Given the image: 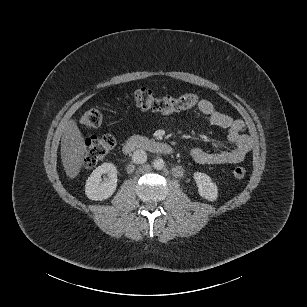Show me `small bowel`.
<instances>
[{"label": "small bowel", "mask_w": 307, "mask_h": 307, "mask_svg": "<svg viewBox=\"0 0 307 307\" xmlns=\"http://www.w3.org/2000/svg\"><path fill=\"white\" fill-rule=\"evenodd\" d=\"M197 109L212 125L227 130L230 148L214 152L199 147L193 148L190 150L193 161L204 165L235 164L243 161L252 149L251 139L245 133L244 122L220 112L206 99L199 101Z\"/></svg>", "instance_id": "obj_1"}]
</instances>
